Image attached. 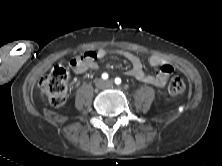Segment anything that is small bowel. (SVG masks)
I'll return each instance as SVG.
<instances>
[{
  "label": "small bowel",
  "mask_w": 222,
  "mask_h": 166,
  "mask_svg": "<svg viewBox=\"0 0 222 166\" xmlns=\"http://www.w3.org/2000/svg\"><path fill=\"white\" fill-rule=\"evenodd\" d=\"M109 54L122 56L130 62L131 68L126 71L128 76L158 88L166 86L169 76L174 71V67L169 61L158 55H152L149 58V63L151 66L158 67L159 69L154 74H148L144 71L142 61L134 53L127 50L109 51L103 48L95 51H88L72 59L70 66L77 74L85 73L88 70H96L98 69L97 60L103 59Z\"/></svg>",
  "instance_id": "obj_1"
}]
</instances>
